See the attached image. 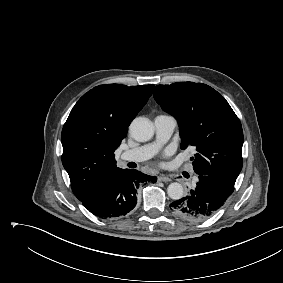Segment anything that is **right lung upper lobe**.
<instances>
[{
	"label": "right lung upper lobe",
	"mask_w": 283,
	"mask_h": 283,
	"mask_svg": "<svg viewBox=\"0 0 283 283\" xmlns=\"http://www.w3.org/2000/svg\"><path fill=\"white\" fill-rule=\"evenodd\" d=\"M153 87L100 85L85 93L71 110L61 134L62 163L79 200L123 170L116 166L114 151Z\"/></svg>",
	"instance_id": "cb5924a9"
}]
</instances>
